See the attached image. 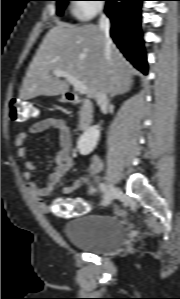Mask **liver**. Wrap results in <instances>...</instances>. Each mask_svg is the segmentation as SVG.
<instances>
[{
  "instance_id": "6515ba94",
  "label": "liver",
  "mask_w": 180,
  "mask_h": 299,
  "mask_svg": "<svg viewBox=\"0 0 180 299\" xmlns=\"http://www.w3.org/2000/svg\"><path fill=\"white\" fill-rule=\"evenodd\" d=\"M66 71L83 82L87 98L97 99L100 91L125 93L132 85V67L104 32L95 25H68L58 22L43 39L23 79L20 98L64 95L69 90L65 78L52 71Z\"/></svg>"
}]
</instances>
